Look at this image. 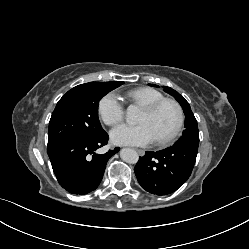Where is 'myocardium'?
Instances as JSON below:
<instances>
[{"label": "myocardium", "instance_id": "1", "mask_svg": "<svg viewBox=\"0 0 249 249\" xmlns=\"http://www.w3.org/2000/svg\"><path fill=\"white\" fill-rule=\"evenodd\" d=\"M164 104L173 105L177 111L178 118H177V123H176V126L174 127V129L167 136L156 140V144L160 145V146H164V145H168V144L172 143L180 134V132L183 128V125H184V121H185L184 110H183L181 104L178 101H176L175 99L163 98V99L157 100L155 102H152L150 104L142 106V109L148 113H154Z\"/></svg>", "mask_w": 249, "mask_h": 249}]
</instances>
